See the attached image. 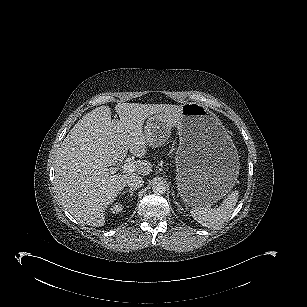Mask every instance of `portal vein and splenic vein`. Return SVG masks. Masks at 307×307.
Masks as SVG:
<instances>
[{"instance_id":"1","label":"portal vein and splenic vein","mask_w":307,"mask_h":307,"mask_svg":"<svg viewBox=\"0 0 307 307\" xmlns=\"http://www.w3.org/2000/svg\"><path fill=\"white\" fill-rule=\"evenodd\" d=\"M122 170L124 172H133L135 170V165L133 162L127 161L123 166Z\"/></svg>"}]
</instances>
